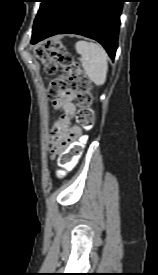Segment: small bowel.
<instances>
[{
    "mask_svg": "<svg viewBox=\"0 0 158 275\" xmlns=\"http://www.w3.org/2000/svg\"><path fill=\"white\" fill-rule=\"evenodd\" d=\"M73 98V92L67 91L54 100V107L61 109L63 114L52 126L49 140V149L52 154L62 152L81 135L80 128L73 124L76 111Z\"/></svg>",
    "mask_w": 158,
    "mask_h": 275,
    "instance_id": "small-bowel-1",
    "label": "small bowel"
}]
</instances>
